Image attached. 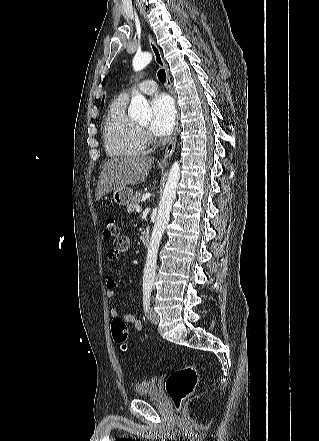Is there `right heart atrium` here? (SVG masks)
Listing matches in <instances>:
<instances>
[{"label": "right heart atrium", "mask_w": 319, "mask_h": 441, "mask_svg": "<svg viewBox=\"0 0 319 441\" xmlns=\"http://www.w3.org/2000/svg\"><path fill=\"white\" fill-rule=\"evenodd\" d=\"M141 135L144 143H148L150 141V137L145 131H141Z\"/></svg>", "instance_id": "right-heart-atrium-1"}]
</instances>
